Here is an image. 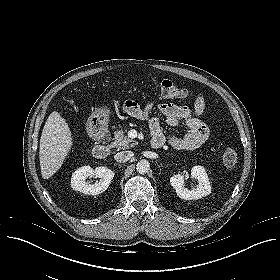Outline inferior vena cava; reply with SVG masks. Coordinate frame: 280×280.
I'll return each mask as SVG.
<instances>
[{"label":"inferior vena cava","instance_id":"1","mask_svg":"<svg viewBox=\"0 0 280 280\" xmlns=\"http://www.w3.org/2000/svg\"><path fill=\"white\" fill-rule=\"evenodd\" d=\"M134 156L132 151H122L115 155V159L118 162H127Z\"/></svg>","mask_w":280,"mask_h":280}]
</instances>
